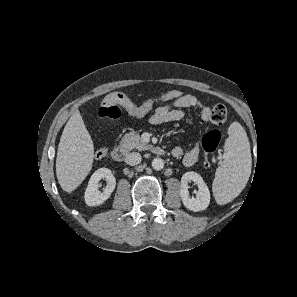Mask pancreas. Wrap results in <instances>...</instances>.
Here are the masks:
<instances>
[{
    "label": "pancreas",
    "instance_id": "1",
    "mask_svg": "<svg viewBox=\"0 0 297 297\" xmlns=\"http://www.w3.org/2000/svg\"><path fill=\"white\" fill-rule=\"evenodd\" d=\"M120 145L127 151L137 149L139 151L147 150L150 148L145 141L140 138V135L136 132L127 133L120 142Z\"/></svg>",
    "mask_w": 297,
    "mask_h": 297
}]
</instances>
